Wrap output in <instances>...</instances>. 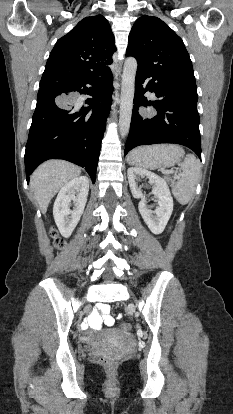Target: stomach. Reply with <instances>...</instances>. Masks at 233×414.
I'll return each instance as SVG.
<instances>
[{
	"mask_svg": "<svg viewBox=\"0 0 233 414\" xmlns=\"http://www.w3.org/2000/svg\"><path fill=\"white\" fill-rule=\"evenodd\" d=\"M136 153L129 157L141 167L149 169L168 168L181 160L184 151L176 145H153L137 148Z\"/></svg>",
	"mask_w": 233,
	"mask_h": 414,
	"instance_id": "stomach-1",
	"label": "stomach"
}]
</instances>
